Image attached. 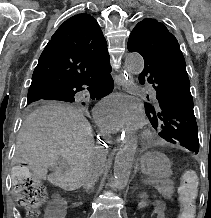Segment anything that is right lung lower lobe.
<instances>
[{
	"instance_id": "1",
	"label": "right lung lower lobe",
	"mask_w": 211,
	"mask_h": 218,
	"mask_svg": "<svg viewBox=\"0 0 211 218\" xmlns=\"http://www.w3.org/2000/svg\"><path fill=\"white\" fill-rule=\"evenodd\" d=\"M110 63L104 64L92 72L89 76L69 83L61 89L51 93L53 95H75L77 92L83 90V86H89L87 89L90 91L92 98H102L112 92L114 81L110 75Z\"/></svg>"
}]
</instances>
